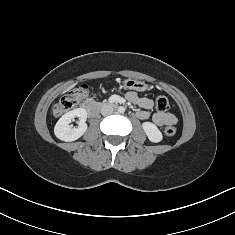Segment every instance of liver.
<instances>
[{
  "instance_id": "liver-1",
  "label": "liver",
  "mask_w": 235,
  "mask_h": 235,
  "mask_svg": "<svg viewBox=\"0 0 235 235\" xmlns=\"http://www.w3.org/2000/svg\"><path fill=\"white\" fill-rule=\"evenodd\" d=\"M74 87V85H72V86H70L67 90H65V91H68L69 89H71V88H73Z\"/></svg>"
}]
</instances>
